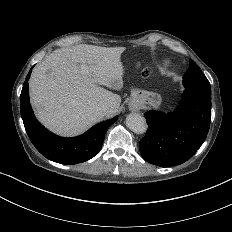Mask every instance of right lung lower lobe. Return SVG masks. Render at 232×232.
<instances>
[{"instance_id":"right-lung-lower-lobe-1","label":"right lung lower lobe","mask_w":232,"mask_h":232,"mask_svg":"<svg viewBox=\"0 0 232 232\" xmlns=\"http://www.w3.org/2000/svg\"><path fill=\"white\" fill-rule=\"evenodd\" d=\"M32 68L23 84L20 110L25 129L33 145L43 156L61 164L74 165L93 158L102 147L106 131L118 118L99 123L74 138H63L49 132L35 118L29 102L28 80Z\"/></svg>"}]
</instances>
